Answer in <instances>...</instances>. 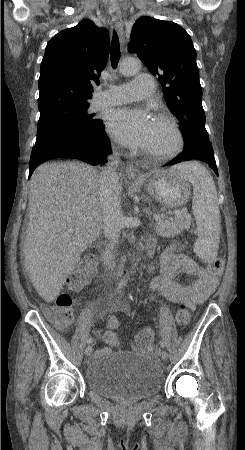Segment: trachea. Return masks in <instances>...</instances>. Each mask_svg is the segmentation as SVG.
Returning a JSON list of instances; mask_svg holds the SVG:
<instances>
[{"instance_id": "obj_1", "label": "trachea", "mask_w": 245, "mask_h": 450, "mask_svg": "<svg viewBox=\"0 0 245 450\" xmlns=\"http://www.w3.org/2000/svg\"><path fill=\"white\" fill-rule=\"evenodd\" d=\"M120 60V44L117 33L114 31L111 44V65L116 68Z\"/></svg>"}]
</instances>
